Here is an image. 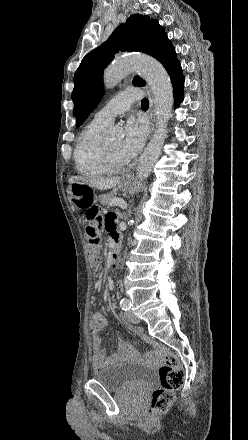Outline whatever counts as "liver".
<instances>
[{
    "instance_id": "1",
    "label": "liver",
    "mask_w": 248,
    "mask_h": 440,
    "mask_svg": "<svg viewBox=\"0 0 248 440\" xmlns=\"http://www.w3.org/2000/svg\"><path fill=\"white\" fill-rule=\"evenodd\" d=\"M81 182L89 185L92 188H97L101 190H107L115 187L120 183V178H95V177H82V176H72L69 179L70 182Z\"/></svg>"
}]
</instances>
